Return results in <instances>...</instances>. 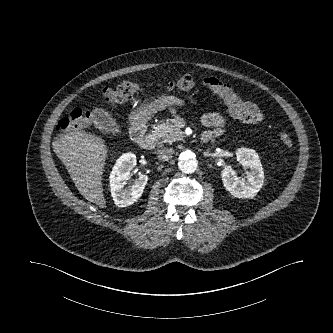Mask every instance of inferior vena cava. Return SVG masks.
I'll return each instance as SVG.
<instances>
[{
	"mask_svg": "<svg viewBox=\"0 0 333 333\" xmlns=\"http://www.w3.org/2000/svg\"><path fill=\"white\" fill-rule=\"evenodd\" d=\"M174 149L173 148H161L157 151V157L159 161H168L173 157Z\"/></svg>",
	"mask_w": 333,
	"mask_h": 333,
	"instance_id": "inferior-vena-cava-1",
	"label": "inferior vena cava"
}]
</instances>
